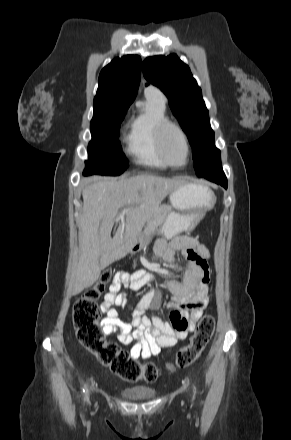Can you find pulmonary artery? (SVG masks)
Wrapping results in <instances>:
<instances>
[{
    "mask_svg": "<svg viewBox=\"0 0 291 440\" xmlns=\"http://www.w3.org/2000/svg\"><path fill=\"white\" fill-rule=\"evenodd\" d=\"M145 93L154 94L157 97H159L162 101H166V97H165L164 93L162 91H160L159 89H157V88L147 87L145 89Z\"/></svg>",
    "mask_w": 291,
    "mask_h": 440,
    "instance_id": "obj_1",
    "label": "pulmonary artery"
}]
</instances>
